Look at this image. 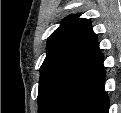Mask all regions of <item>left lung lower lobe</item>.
<instances>
[{"instance_id": "1", "label": "left lung lower lobe", "mask_w": 121, "mask_h": 113, "mask_svg": "<svg viewBox=\"0 0 121 113\" xmlns=\"http://www.w3.org/2000/svg\"><path fill=\"white\" fill-rule=\"evenodd\" d=\"M105 72L71 113H108L109 99L104 90Z\"/></svg>"}]
</instances>
